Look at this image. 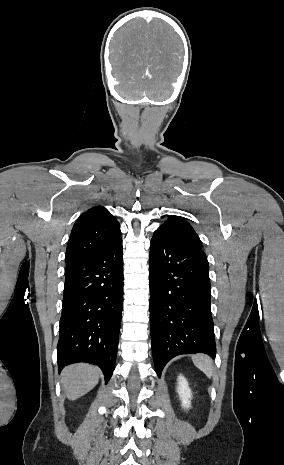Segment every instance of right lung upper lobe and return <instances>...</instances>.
I'll return each mask as SVG.
<instances>
[{
    "label": "right lung upper lobe",
    "instance_id": "1",
    "mask_svg": "<svg viewBox=\"0 0 284 465\" xmlns=\"http://www.w3.org/2000/svg\"><path fill=\"white\" fill-rule=\"evenodd\" d=\"M120 238V225L116 218L103 206L90 208L73 226L66 249V266L98 255Z\"/></svg>",
    "mask_w": 284,
    "mask_h": 465
}]
</instances>
